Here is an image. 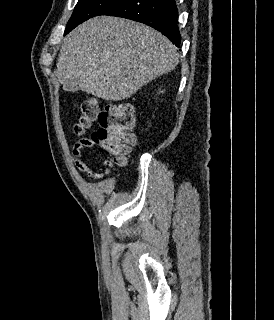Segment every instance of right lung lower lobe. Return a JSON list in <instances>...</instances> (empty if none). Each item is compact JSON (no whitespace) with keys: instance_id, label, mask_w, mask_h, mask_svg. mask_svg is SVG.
<instances>
[{"instance_id":"98d812e1","label":"right lung lower lobe","mask_w":274,"mask_h":320,"mask_svg":"<svg viewBox=\"0 0 274 320\" xmlns=\"http://www.w3.org/2000/svg\"><path fill=\"white\" fill-rule=\"evenodd\" d=\"M100 15L131 19L155 28L177 47L181 35L177 26L178 10L175 0H119Z\"/></svg>"}]
</instances>
